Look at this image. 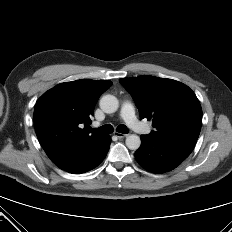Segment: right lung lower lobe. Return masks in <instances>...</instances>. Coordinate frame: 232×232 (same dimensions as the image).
I'll use <instances>...</instances> for the list:
<instances>
[{
    "instance_id": "obj_1",
    "label": "right lung lower lobe",
    "mask_w": 232,
    "mask_h": 232,
    "mask_svg": "<svg viewBox=\"0 0 232 232\" xmlns=\"http://www.w3.org/2000/svg\"><path fill=\"white\" fill-rule=\"evenodd\" d=\"M110 143L111 137L105 136V138L92 149L67 154L54 161V163L60 169L73 174L87 172L103 161L109 150Z\"/></svg>"
}]
</instances>
